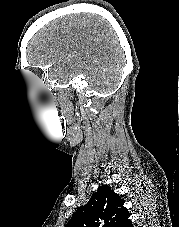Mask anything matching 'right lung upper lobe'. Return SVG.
Instances as JSON below:
<instances>
[{"mask_svg":"<svg viewBox=\"0 0 179 227\" xmlns=\"http://www.w3.org/2000/svg\"><path fill=\"white\" fill-rule=\"evenodd\" d=\"M123 204L109 186H100L86 205L78 207L66 227H132Z\"/></svg>","mask_w":179,"mask_h":227,"instance_id":"obj_1","label":"right lung upper lobe"}]
</instances>
